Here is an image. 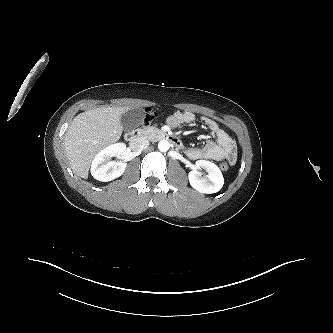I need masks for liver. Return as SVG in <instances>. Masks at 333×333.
Instances as JSON below:
<instances>
[{
  "instance_id": "liver-1",
  "label": "liver",
  "mask_w": 333,
  "mask_h": 333,
  "mask_svg": "<svg viewBox=\"0 0 333 333\" xmlns=\"http://www.w3.org/2000/svg\"><path fill=\"white\" fill-rule=\"evenodd\" d=\"M129 107H101L76 116L66 133L65 148L73 172L88 178L89 168L97 153L115 143L122 135V115Z\"/></svg>"
}]
</instances>
